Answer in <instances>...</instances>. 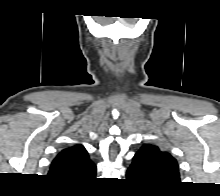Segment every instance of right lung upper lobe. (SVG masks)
<instances>
[{
    "label": "right lung upper lobe",
    "mask_w": 220,
    "mask_h": 196,
    "mask_svg": "<svg viewBox=\"0 0 220 196\" xmlns=\"http://www.w3.org/2000/svg\"><path fill=\"white\" fill-rule=\"evenodd\" d=\"M96 165L86 149L77 144L62 150L53 160L49 177L73 184L83 183L95 175Z\"/></svg>",
    "instance_id": "1"
}]
</instances>
